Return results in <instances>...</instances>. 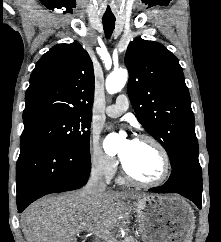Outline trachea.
<instances>
[{
  "instance_id": "1",
  "label": "trachea",
  "mask_w": 221,
  "mask_h": 242,
  "mask_svg": "<svg viewBox=\"0 0 221 242\" xmlns=\"http://www.w3.org/2000/svg\"><path fill=\"white\" fill-rule=\"evenodd\" d=\"M103 29L105 33V37L109 39L113 33L115 28V19L114 18H103Z\"/></svg>"
}]
</instances>
